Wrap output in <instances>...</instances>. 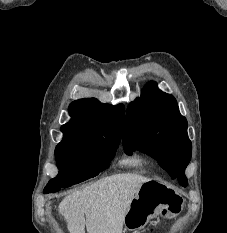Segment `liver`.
Returning a JSON list of instances; mask_svg holds the SVG:
<instances>
[{
    "instance_id": "1",
    "label": "liver",
    "mask_w": 227,
    "mask_h": 233,
    "mask_svg": "<svg viewBox=\"0 0 227 233\" xmlns=\"http://www.w3.org/2000/svg\"><path fill=\"white\" fill-rule=\"evenodd\" d=\"M149 178L119 173L63 198L59 212L70 233H122L124 218L139 187Z\"/></svg>"
}]
</instances>
